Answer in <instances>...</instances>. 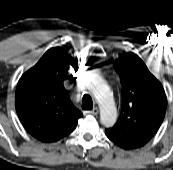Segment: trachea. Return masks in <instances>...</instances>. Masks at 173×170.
I'll list each match as a JSON object with an SVG mask.
<instances>
[{
	"label": "trachea",
	"instance_id": "3493384b",
	"mask_svg": "<svg viewBox=\"0 0 173 170\" xmlns=\"http://www.w3.org/2000/svg\"><path fill=\"white\" fill-rule=\"evenodd\" d=\"M81 103L84 110H91L93 108L92 99L88 94L83 95Z\"/></svg>",
	"mask_w": 173,
	"mask_h": 170
}]
</instances>
